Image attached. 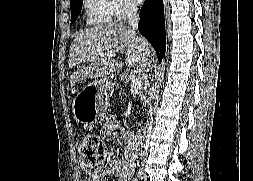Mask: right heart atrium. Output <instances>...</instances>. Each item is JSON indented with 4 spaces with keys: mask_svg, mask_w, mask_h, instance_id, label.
<instances>
[{
    "mask_svg": "<svg viewBox=\"0 0 253 181\" xmlns=\"http://www.w3.org/2000/svg\"><path fill=\"white\" fill-rule=\"evenodd\" d=\"M114 16L123 19L136 12L132 0H112Z\"/></svg>",
    "mask_w": 253,
    "mask_h": 181,
    "instance_id": "obj_1",
    "label": "right heart atrium"
}]
</instances>
